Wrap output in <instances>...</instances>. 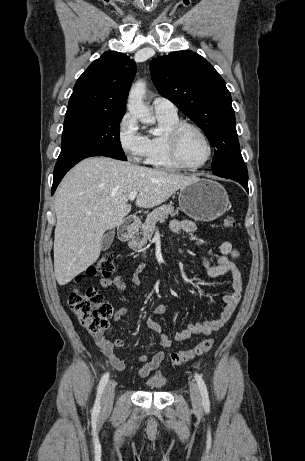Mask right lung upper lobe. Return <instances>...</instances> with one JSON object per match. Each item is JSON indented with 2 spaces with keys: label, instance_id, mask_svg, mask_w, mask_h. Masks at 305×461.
<instances>
[{
  "label": "right lung upper lobe",
  "instance_id": "1",
  "mask_svg": "<svg viewBox=\"0 0 305 461\" xmlns=\"http://www.w3.org/2000/svg\"><path fill=\"white\" fill-rule=\"evenodd\" d=\"M136 64L123 53L108 51L77 80L67 109L89 108L125 114Z\"/></svg>",
  "mask_w": 305,
  "mask_h": 461
}]
</instances>
